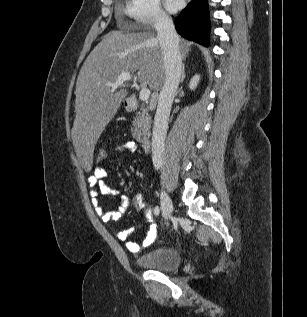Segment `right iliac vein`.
<instances>
[{
	"label": "right iliac vein",
	"mask_w": 307,
	"mask_h": 317,
	"mask_svg": "<svg viewBox=\"0 0 307 317\" xmlns=\"http://www.w3.org/2000/svg\"><path fill=\"white\" fill-rule=\"evenodd\" d=\"M161 210L164 219H168L173 210L171 198L165 191L161 193Z\"/></svg>",
	"instance_id": "obj_1"
}]
</instances>
